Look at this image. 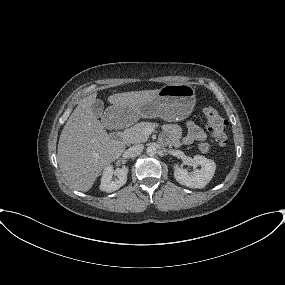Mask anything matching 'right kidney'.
<instances>
[{
    "label": "right kidney",
    "mask_w": 285,
    "mask_h": 285,
    "mask_svg": "<svg viewBox=\"0 0 285 285\" xmlns=\"http://www.w3.org/2000/svg\"><path fill=\"white\" fill-rule=\"evenodd\" d=\"M113 174H116L118 179L112 181ZM128 167L123 166L122 168L113 170L111 165H108L104 168L101 177L100 189L107 193L114 192L122 187L127 181Z\"/></svg>",
    "instance_id": "1"
}]
</instances>
